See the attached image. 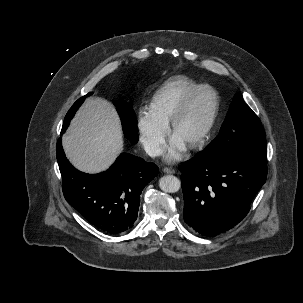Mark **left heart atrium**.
Here are the masks:
<instances>
[{
    "label": "left heart atrium",
    "mask_w": 303,
    "mask_h": 303,
    "mask_svg": "<svg viewBox=\"0 0 303 303\" xmlns=\"http://www.w3.org/2000/svg\"><path fill=\"white\" fill-rule=\"evenodd\" d=\"M186 150V144L178 137H172L170 145L167 149L166 159L169 162H174L181 159L183 152Z\"/></svg>",
    "instance_id": "left-heart-atrium-1"
}]
</instances>
